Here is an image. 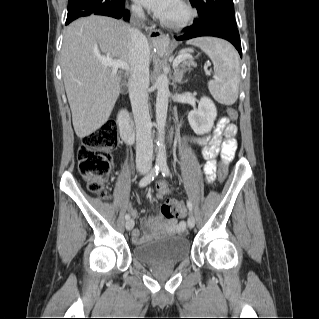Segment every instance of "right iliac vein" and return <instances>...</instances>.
<instances>
[{"label": "right iliac vein", "instance_id": "63e3f726", "mask_svg": "<svg viewBox=\"0 0 319 319\" xmlns=\"http://www.w3.org/2000/svg\"><path fill=\"white\" fill-rule=\"evenodd\" d=\"M141 172H142V173H146V170H145V169H142ZM133 227H134V221H133V219H128V220L126 221V229H127L128 231H130Z\"/></svg>", "mask_w": 319, "mask_h": 319}]
</instances>
